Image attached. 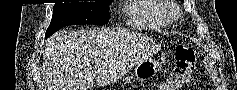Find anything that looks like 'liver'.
Here are the masks:
<instances>
[{"mask_svg":"<svg viewBox=\"0 0 237 90\" xmlns=\"http://www.w3.org/2000/svg\"><path fill=\"white\" fill-rule=\"evenodd\" d=\"M117 48L115 32L105 28L81 32L64 30L53 34L48 38L43 54L45 90L93 88L95 72L100 76L115 70ZM92 64H95V70H92Z\"/></svg>","mask_w":237,"mask_h":90,"instance_id":"liver-1","label":"liver"}]
</instances>
